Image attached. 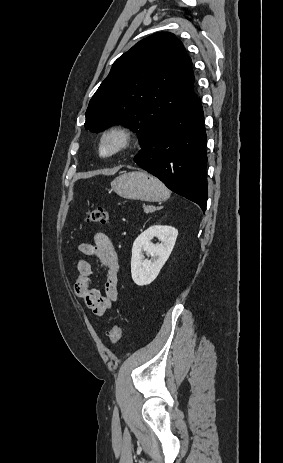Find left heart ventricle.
I'll return each instance as SVG.
<instances>
[{"instance_id":"1","label":"left heart ventricle","mask_w":283,"mask_h":463,"mask_svg":"<svg viewBox=\"0 0 283 463\" xmlns=\"http://www.w3.org/2000/svg\"><path fill=\"white\" fill-rule=\"evenodd\" d=\"M111 144L112 143H109L107 146H106V149H109L111 147Z\"/></svg>"}]
</instances>
